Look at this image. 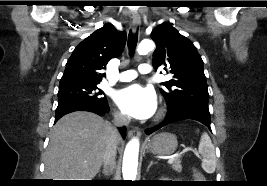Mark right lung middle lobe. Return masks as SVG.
<instances>
[{
    "mask_svg": "<svg viewBox=\"0 0 267 186\" xmlns=\"http://www.w3.org/2000/svg\"><path fill=\"white\" fill-rule=\"evenodd\" d=\"M103 91L98 88V84L94 83H74L60 85L58 91V100L68 99H87L96 102H107L102 97Z\"/></svg>",
    "mask_w": 267,
    "mask_h": 186,
    "instance_id": "right-lung-middle-lobe-1",
    "label": "right lung middle lobe"
}]
</instances>
